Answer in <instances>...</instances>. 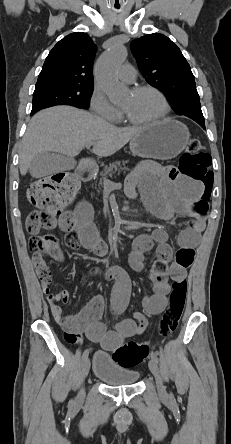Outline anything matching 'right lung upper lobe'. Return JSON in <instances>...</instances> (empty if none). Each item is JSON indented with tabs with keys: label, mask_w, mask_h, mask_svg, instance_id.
Segmentation results:
<instances>
[{
	"label": "right lung upper lobe",
	"mask_w": 231,
	"mask_h": 444,
	"mask_svg": "<svg viewBox=\"0 0 231 444\" xmlns=\"http://www.w3.org/2000/svg\"><path fill=\"white\" fill-rule=\"evenodd\" d=\"M97 47L83 32L60 40L47 56L36 86L69 84L93 86L92 65Z\"/></svg>",
	"instance_id": "cb5924a9"
}]
</instances>
